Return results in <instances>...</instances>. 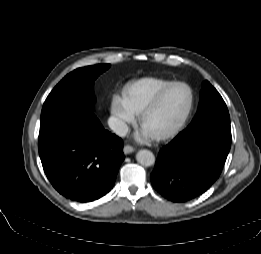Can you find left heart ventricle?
<instances>
[{
  "label": "left heart ventricle",
  "instance_id": "left-heart-ventricle-1",
  "mask_svg": "<svg viewBox=\"0 0 261 254\" xmlns=\"http://www.w3.org/2000/svg\"><path fill=\"white\" fill-rule=\"evenodd\" d=\"M190 102L189 91L178 85L171 88L158 106L147 115L143 129L149 135L167 131L175 127L186 113Z\"/></svg>",
  "mask_w": 261,
  "mask_h": 254
}]
</instances>
